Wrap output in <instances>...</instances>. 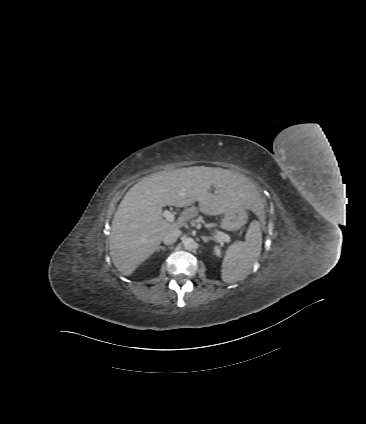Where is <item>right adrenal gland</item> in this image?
<instances>
[{
	"label": "right adrenal gland",
	"instance_id": "obj_1",
	"mask_svg": "<svg viewBox=\"0 0 366 424\" xmlns=\"http://www.w3.org/2000/svg\"><path fill=\"white\" fill-rule=\"evenodd\" d=\"M160 249L165 250V247L160 245L157 247V251H160Z\"/></svg>",
	"mask_w": 366,
	"mask_h": 424
}]
</instances>
